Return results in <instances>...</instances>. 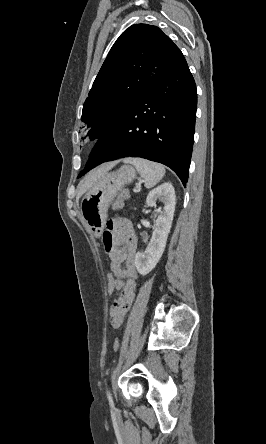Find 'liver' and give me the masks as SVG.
Here are the masks:
<instances>
[{"label": "liver", "mask_w": 266, "mask_h": 444, "mask_svg": "<svg viewBox=\"0 0 266 444\" xmlns=\"http://www.w3.org/2000/svg\"><path fill=\"white\" fill-rule=\"evenodd\" d=\"M115 164L116 162L103 164L100 168L92 172L81 184L77 200L81 195L91 189L103 175H105L111 168L115 166Z\"/></svg>", "instance_id": "1"}]
</instances>
